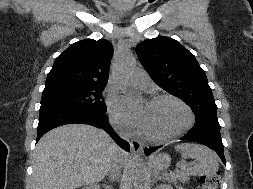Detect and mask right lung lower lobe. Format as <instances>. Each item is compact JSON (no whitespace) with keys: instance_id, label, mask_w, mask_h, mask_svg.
I'll return each mask as SVG.
<instances>
[{"instance_id":"98d812e1","label":"right lung lower lobe","mask_w":253,"mask_h":189,"mask_svg":"<svg viewBox=\"0 0 253 189\" xmlns=\"http://www.w3.org/2000/svg\"><path fill=\"white\" fill-rule=\"evenodd\" d=\"M82 123L104 129L118 144L129 150L128 142L122 140L109 125L105 113H97L87 110L73 109L67 107H45L40 108L39 124L36 142L47 131L65 124Z\"/></svg>"}]
</instances>
